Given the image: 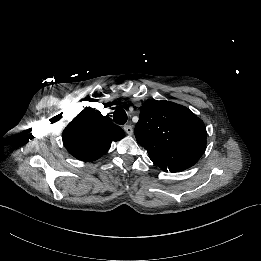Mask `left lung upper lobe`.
I'll return each instance as SVG.
<instances>
[{
    "label": "left lung upper lobe",
    "instance_id": "5c2ea615",
    "mask_svg": "<svg viewBox=\"0 0 261 261\" xmlns=\"http://www.w3.org/2000/svg\"><path fill=\"white\" fill-rule=\"evenodd\" d=\"M137 142L165 172L193 166L206 147V127L188 108L170 102L146 101L134 129Z\"/></svg>",
    "mask_w": 261,
    "mask_h": 261
}]
</instances>
